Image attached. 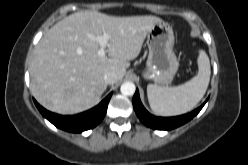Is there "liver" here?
I'll use <instances>...</instances> for the list:
<instances>
[{
  "mask_svg": "<svg viewBox=\"0 0 248 165\" xmlns=\"http://www.w3.org/2000/svg\"><path fill=\"white\" fill-rule=\"evenodd\" d=\"M155 16L115 17L97 11L73 13L52 26L34 50L30 64L31 93L44 108L59 114H77L100 101L107 84L104 75L115 72L122 80L130 60L157 24ZM109 34L106 52L99 57L95 37Z\"/></svg>",
  "mask_w": 248,
  "mask_h": 165,
  "instance_id": "6515ba94",
  "label": "liver"
}]
</instances>
